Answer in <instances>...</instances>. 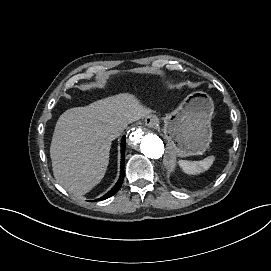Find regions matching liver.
I'll return each instance as SVG.
<instances>
[{"label":"liver","instance_id":"liver-1","mask_svg":"<svg viewBox=\"0 0 271 271\" xmlns=\"http://www.w3.org/2000/svg\"><path fill=\"white\" fill-rule=\"evenodd\" d=\"M150 113L129 94L65 111L50 148L57 182L77 196L90 192L105 176L112 140L128 124Z\"/></svg>","mask_w":271,"mask_h":271}]
</instances>
